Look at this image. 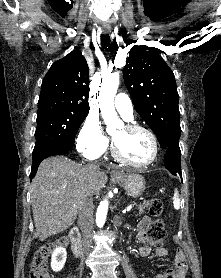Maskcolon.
Masks as SVG:
<instances>
[{"instance_id":"1","label":"colon","mask_w":221,"mask_h":278,"mask_svg":"<svg viewBox=\"0 0 221 278\" xmlns=\"http://www.w3.org/2000/svg\"><path fill=\"white\" fill-rule=\"evenodd\" d=\"M163 210L164 207L161 200L157 198L150 200L149 214L154 217L155 220L152 222L148 233L155 244H160L167 237L165 225L163 221L159 219V217L163 214ZM65 243L66 240L62 239L56 242L47 243L40 247L35 253L31 263L30 278H51L46 266L47 261L51 257L54 249Z\"/></svg>"}]
</instances>
